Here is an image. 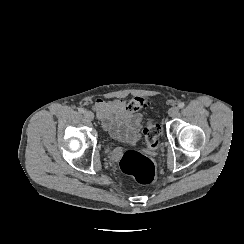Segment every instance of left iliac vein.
Segmentation results:
<instances>
[{"label":"left iliac vein","mask_w":244,"mask_h":244,"mask_svg":"<svg viewBox=\"0 0 244 244\" xmlns=\"http://www.w3.org/2000/svg\"><path fill=\"white\" fill-rule=\"evenodd\" d=\"M179 113V109L177 107H171L168 111V115L171 117L177 116Z\"/></svg>","instance_id":"4c4485c4"}]
</instances>
